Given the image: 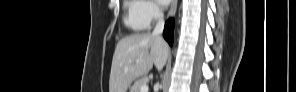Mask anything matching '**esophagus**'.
<instances>
[{"mask_svg":"<svg viewBox=\"0 0 296 92\" xmlns=\"http://www.w3.org/2000/svg\"><path fill=\"white\" fill-rule=\"evenodd\" d=\"M177 3H178V0H172L168 17L174 16V14L177 10Z\"/></svg>","mask_w":296,"mask_h":92,"instance_id":"obj_1","label":"esophagus"}]
</instances>
